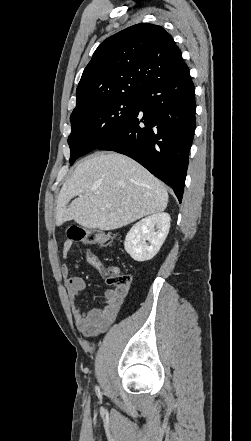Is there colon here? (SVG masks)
I'll use <instances>...</instances> for the list:
<instances>
[{
	"label": "colon",
	"mask_w": 251,
	"mask_h": 441,
	"mask_svg": "<svg viewBox=\"0 0 251 441\" xmlns=\"http://www.w3.org/2000/svg\"><path fill=\"white\" fill-rule=\"evenodd\" d=\"M67 239L71 242H83L87 245L110 246L114 243L115 235L101 230H94L80 225H70L66 229ZM102 277L109 285L116 288H128L131 283V276L122 273L118 268L104 269Z\"/></svg>",
	"instance_id": "5ec220e1"
}]
</instances>
